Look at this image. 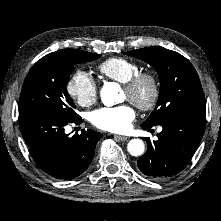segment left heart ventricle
<instances>
[{"instance_id": "b2bd125f", "label": "left heart ventricle", "mask_w": 221, "mask_h": 221, "mask_svg": "<svg viewBox=\"0 0 221 221\" xmlns=\"http://www.w3.org/2000/svg\"><path fill=\"white\" fill-rule=\"evenodd\" d=\"M148 95H149V88H148L147 85H143L141 87V89L139 90L138 97L140 99L144 100V99H146L148 97ZM122 97L125 100H129V95H128V93L125 90H123Z\"/></svg>"}]
</instances>
